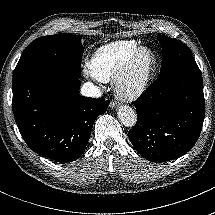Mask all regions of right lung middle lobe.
Segmentation results:
<instances>
[{"label":"right lung middle lobe","mask_w":215,"mask_h":215,"mask_svg":"<svg viewBox=\"0 0 215 215\" xmlns=\"http://www.w3.org/2000/svg\"><path fill=\"white\" fill-rule=\"evenodd\" d=\"M81 35L56 34L31 42L13 72V82L28 74L52 72L80 77Z\"/></svg>","instance_id":"dd1d6c3e"}]
</instances>
